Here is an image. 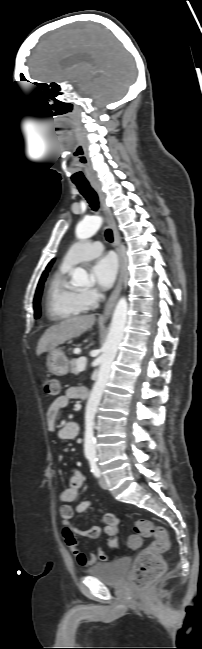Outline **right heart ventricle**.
<instances>
[{
    "mask_svg": "<svg viewBox=\"0 0 202 649\" xmlns=\"http://www.w3.org/2000/svg\"><path fill=\"white\" fill-rule=\"evenodd\" d=\"M71 265L62 263L50 278L46 293V311L53 320H65L83 313L87 306L82 291L68 279Z\"/></svg>",
    "mask_w": 202,
    "mask_h": 649,
    "instance_id": "e07e8e85",
    "label": "right heart ventricle"
}]
</instances>
